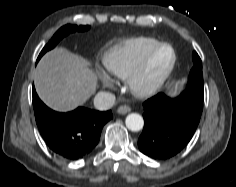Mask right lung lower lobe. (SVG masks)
I'll list each match as a JSON object with an SVG mask.
<instances>
[{
	"label": "right lung lower lobe",
	"instance_id": "right-lung-lower-lobe-1",
	"mask_svg": "<svg viewBox=\"0 0 236 187\" xmlns=\"http://www.w3.org/2000/svg\"><path fill=\"white\" fill-rule=\"evenodd\" d=\"M35 119L42 137L57 155L68 160L87 156L97 145L101 130L112 118V112L84 107L59 113L48 108L33 88Z\"/></svg>",
	"mask_w": 236,
	"mask_h": 187
}]
</instances>
